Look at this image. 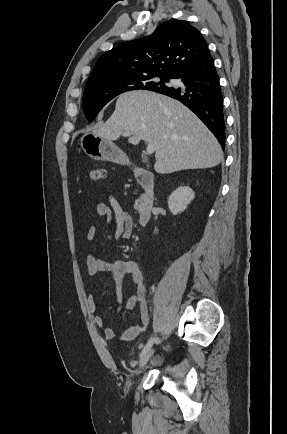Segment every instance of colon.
<instances>
[{
  "label": "colon",
  "mask_w": 287,
  "mask_h": 434,
  "mask_svg": "<svg viewBox=\"0 0 287 434\" xmlns=\"http://www.w3.org/2000/svg\"><path fill=\"white\" fill-rule=\"evenodd\" d=\"M105 176V169L102 167H93L89 171V177L92 182H99Z\"/></svg>",
  "instance_id": "colon-1"
}]
</instances>
